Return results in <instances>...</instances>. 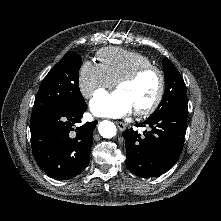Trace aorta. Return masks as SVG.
<instances>
[{"instance_id": "762f6f07", "label": "aorta", "mask_w": 221, "mask_h": 221, "mask_svg": "<svg viewBox=\"0 0 221 221\" xmlns=\"http://www.w3.org/2000/svg\"><path fill=\"white\" fill-rule=\"evenodd\" d=\"M99 133L104 138H112L116 135V127L110 121H102L98 127Z\"/></svg>"}]
</instances>
